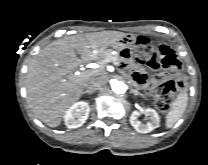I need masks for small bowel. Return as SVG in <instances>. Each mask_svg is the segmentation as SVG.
<instances>
[{
	"mask_svg": "<svg viewBox=\"0 0 208 165\" xmlns=\"http://www.w3.org/2000/svg\"><path fill=\"white\" fill-rule=\"evenodd\" d=\"M120 56L123 60L130 61L133 58V53L130 49L123 48L120 51ZM121 70L124 73H128L129 80L135 81L138 85L145 87L148 91H151L153 85L161 80L160 77H156L150 81L144 71L132 69V65L129 62L122 63Z\"/></svg>",
	"mask_w": 208,
	"mask_h": 165,
	"instance_id": "1",
	"label": "small bowel"
}]
</instances>
